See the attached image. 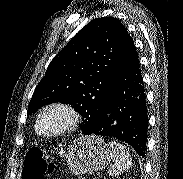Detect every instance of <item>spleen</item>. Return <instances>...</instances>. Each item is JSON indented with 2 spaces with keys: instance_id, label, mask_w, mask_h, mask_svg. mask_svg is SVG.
Segmentation results:
<instances>
[{
  "instance_id": "1",
  "label": "spleen",
  "mask_w": 183,
  "mask_h": 179,
  "mask_svg": "<svg viewBox=\"0 0 183 179\" xmlns=\"http://www.w3.org/2000/svg\"><path fill=\"white\" fill-rule=\"evenodd\" d=\"M108 144L113 161L108 173L110 176H118L132 166V158L123 145L113 141Z\"/></svg>"
}]
</instances>
